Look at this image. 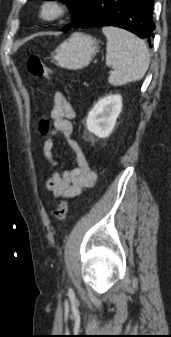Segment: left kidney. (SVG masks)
Segmentation results:
<instances>
[{"mask_svg": "<svg viewBox=\"0 0 171 337\" xmlns=\"http://www.w3.org/2000/svg\"><path fill=\"white\" fill-rule=\"evenodd\" d=\"M122 110V97L108 95L100 99L89 111L86 126L89 132L99 138L108 137Z\"/></svg>", "mask_w": 171, "mask_h": 337, "instance_id": "left-kidney-1", "label": "left kidney"}]
</instances>
